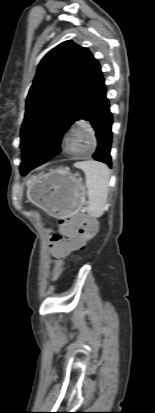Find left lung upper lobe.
Returning <instances> with one entry per match:
<instances>
[{"label":"left lung upper lobe","instance_id":"left-lung-upper-lobe-1","mask_svg":"<svg viewBox=\"0 0 155 413\" xmlns=\"http://www.w3.org/2000/svg\"><path fill=\"white\" fill-rule=\"evenodd\" d=\"M102 78L90 51L65 41L41 60L26 100L21 128V174L45 163L59 150L58 136L78 121L80 110Z\"/></svg>","mask_w":155,"mask_h":413}]
</instances>
